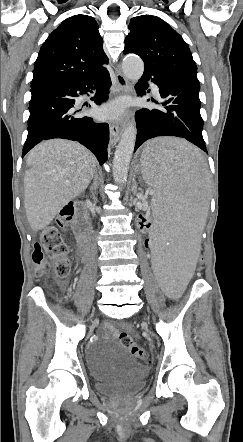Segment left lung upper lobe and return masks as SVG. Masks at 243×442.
Returning a JSON list of instances; mask_svg holds the SVG:
<instances>
[{"label": "left lung upper lobe", "instance_id": "left-lung-upper-lobe-1", "mask_svg": "<svg viewBox=\"0 0 243 442\" xmlns=\"http://www.w3.org/2000/svg\"><path fill=\"white\" fill-rule=\"evenodd\" d=\"M124 53H135L144 65L156 71L183 73L197 77V66L188 44L169 24L157 16L131 19Z\"/></svg>", "mask_w": 243, "mask_h": 442}]
</instances>
